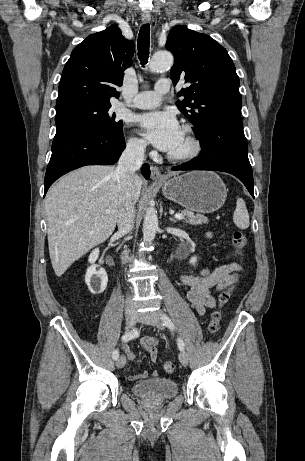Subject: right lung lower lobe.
I'll use <instances>...</instances> for the list:
<instances>
[{
  "label": "right lung lower lobe",
  "mask_w": 305,
  "mask_h": 461,
  "mask_svg": "<svg viewBox=\"0 0 305 461\" xmlns=\"http://www.w3.org/2000/svg\"><path fill=\"white\" fill-rule=\"evenodd\" d=\"M125 149L122 130L106 133L78 126H64L56 130L52 155L45 175L44 196L59 177L85 165H110L118 161ZM142 174L150 177V167L143 164Z\"/></svg>",
  "instance_id": "obj_1"
}]
</instances>
